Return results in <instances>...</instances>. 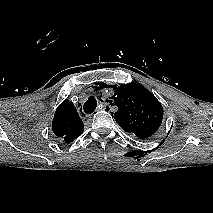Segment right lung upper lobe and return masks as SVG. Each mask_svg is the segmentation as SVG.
<instances>
[{
    "label": "right lung upper lobe",
    "instance_id": "right-lung-upper-lobe-1",
    "mask_svg": "<svg viewBox=\"0 0 213 213\" xmlns=\"http://www.w3.org/2000/svg\"><path fill=\"white\" fill-rule=\"evenodd\" d=\"M84 124L76 107L69 100H64L56 109L52 130L60 142L70 143L83 132Z\"/></svg>",
    "mask_w": 213,
    "mask_h": 213
}]
</instances>
